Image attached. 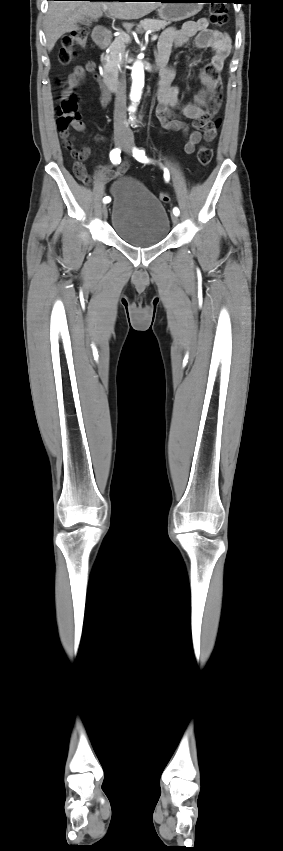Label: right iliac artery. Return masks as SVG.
I'll return each instance as SVG.
<instances>
[{
	"label": "right iliac artery",
	"instance_id": "82829eb1",
	"mask_svg": "<svg viewBox=\"0 0 283 851\" xmlns=\"http://www.w3.org/2000/svg\"><path fill=\"white\" fill-rule=\"evenodd\" d=\"M120 153H121V150L118 149V148L113 149L110 152V160L113 164L117 165V164L120 163V161H121ZM110 201H111V198L109 196H106V197L103 198L104 203H109Z\"/></svg>",
	"mask_w": 283,
	"mask_h": 851
}]
</instances>
